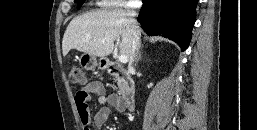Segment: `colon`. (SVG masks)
I'll return each mask as SVG.
<instances>
[{"mask_svg": "<svg viewBox=\"0 0 257 130\" xmlns=\"http://www.w3.org/2000/svg\"><path fill=\"white\" fill-rule=\"evenodd\" d=\"M70 79L73 83L83 84L85 82V74L79 67H73L70 72Z\"/></svg>", "mask_w": 257, "mask_h": 130, "instance_id": "5ec220e1", "label": "colon"}]
</instances>
